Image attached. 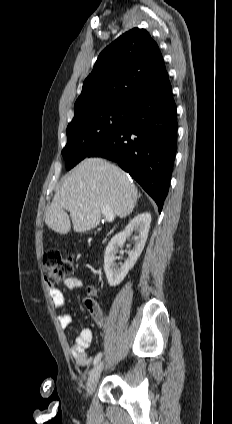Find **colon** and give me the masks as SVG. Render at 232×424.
Wrapping results in <instances>:
<instances>
[{"instance_id": "5ec220e1", "label": "colon", "mask_w": 232, "mask_h": 424, "mask_svg": "<svg viewBox=\"0 0 232 424\" xmlns=\"http://www.w3.org/2000/svg\"><path fill=\"white\" fill-rule=\"evenodd\" d=\"M42 268L46 283L52 287L60 284L74 272L75 263L72 256L58 250H49L44 253Z\"/></svg>"}]
</instances>
